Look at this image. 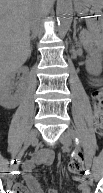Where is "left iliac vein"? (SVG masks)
<instances>
[{
  "mask_svg": "<svg viewBox=\"0 0 103 193\" xmlns=\"http://www.w3.org/2000/svg\"><path fill=\"white\" fill-rule=\"evenodd\" d=\"M71 136H70V132L66 131L64 133H62V135L60 136V142L62 143V145L64 146V148H68L71 145ZM89 177V183L92 184V175L89 173L88 175Z\"/></svg>",
  "mask_w": 103,
  "mask_h": 193,
  "instance_id": "1",
  "label": "left iliac vein"
}]
</instances>
